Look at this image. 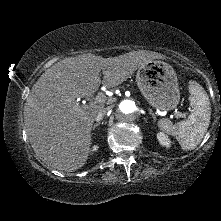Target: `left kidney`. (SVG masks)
Instances as JSON below:
<instances>
[{
  "label": "left kidney",
  "mask_w": 221,
  "mask_h": 221,
  "mask_svg": "<svg viewBox=\"0 0 221 221\" xmlns=\"http://www.w3.org/2000/svg\"><path fill=\"white\" fill-rule=\"evenodd\" d=\"M157 139L162 146H164L166 148L171 147L172 142H171L170 138L164 132H158Z\"/></svg>",
  "instance_id": "obj_1"
}]
</instances>
